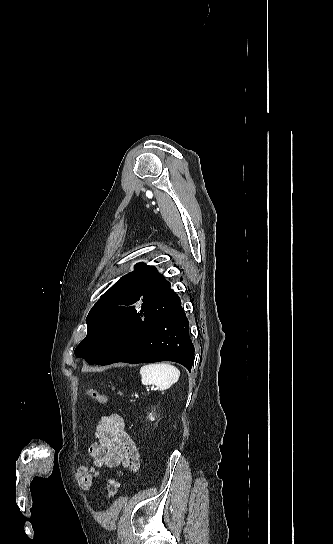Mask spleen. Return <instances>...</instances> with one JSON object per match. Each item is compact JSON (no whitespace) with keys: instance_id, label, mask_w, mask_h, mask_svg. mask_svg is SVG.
<instances>
[{"instance_id":"3e777b00","label":"spleen","mask_w":333,"mask_h":544,"mask_svg":"<svg viewBox=\"0 0 333 544\" xmlns=\"http://www.w3.org/2000/svg\"><path fill=\"white\" fill-rule=\"evenodd\" d=\"M143 385H156L160 390H167L179 380L180 371L169 363L144 365L140 369Z\"/></svg>"}]
</instances>
